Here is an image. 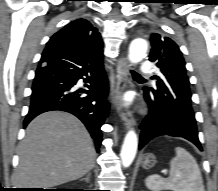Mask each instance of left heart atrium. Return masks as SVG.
I'll return each instance as SVG.
<instances>
[{
    "label": "left heart atrium",
    "mask_w": 218,
    "mask_h": 191,
    "mask_svg": "<svg viewBox=\"0 0 218 191\" xmlns=\"http://www.w3.org/2000/svg\"><path fill=\"white\" fill-rule=\"evenodd\" d=\"M125 100L129 101L130 100V96L129 95L125 96Z\"/></svg>",
    "instance_id": "1"
}]
</instances>
